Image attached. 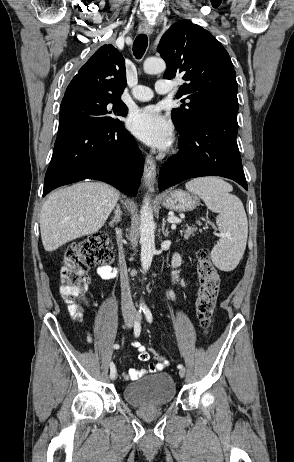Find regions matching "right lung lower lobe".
<instances>
[{"instance_id": "right-lung-lower-lobe-1", "label": "right lung lower lobe", "mask_w": 294, "mask_h": 462, "mask_svg": "<svg viewBox=\"0 0 294 462\" xmlns=\"http://www.w3.org/2000/svg\"><path fill=\"white\" fill-rule=\"evenodd\" d=\"M144 159L121 121L58 133L44 181L43 196L62 185L84 179L107 182L135 196Z\"/></svg>"}]
</instances>
